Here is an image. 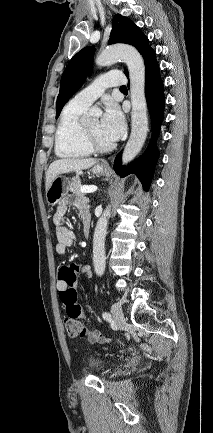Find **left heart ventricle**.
Masks as SVG:
<instances>
[{
    "label": "left heart ventricle",
    "mask_w": 213,
    "mask_h": 433,
    "mask_svg": "<svg viewBox=\"0 0 213 433\" xmlns=\"http://www.w3.org/2000/svg\"><path fill=\"white\" fill-rule=\"evenodd\" d=\"M86 128L88 131L92 134V136L95 138L97 142H99L102 145H108L111 144L112 141H110L105 134L102 132L100 127V121L98 119L92 120L86 125Z\"/></svg>",
    "instance_id": "1"
}]
</instances>
